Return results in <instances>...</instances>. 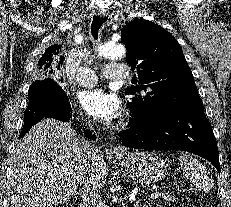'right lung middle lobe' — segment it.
Listing matches in <instances>:
<instances>
[{
	"label": "right lung middle lobe",
	"mask_w": 231,
	"mask_h": 207,
	"mask_svg": "<svg viewBox=\"0 0 231 207\" xmlns=\"http://www.w3.org/2000/svg\"><path fill=\"white\" fill-rule=\"evenodd\" d=\"M41 81H35L29 88V91H28V96H29V100L32 99L34 97V94H35V88L34 86H37L38 84H40Z\"/></svg>",
	"instance_id": "1"
}]
</instances>
